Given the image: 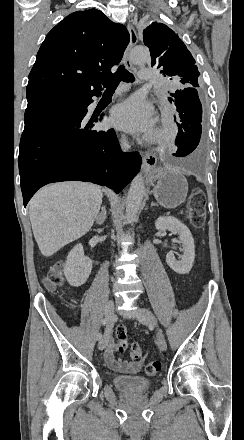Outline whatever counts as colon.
I'll return each instance as SVG.
<instances>
[{
    "label": "colon",
    "mask_w": 244,
    "mask_h": 440,
    "mask_svg": "<svg viewBox=\"0 0 244 440\" xmlns=\"http://www.w3.org/2000/svg\"><path fill=\"white\" fill-rule=\"evenodd\" d=\"M189 218L194 228H201L205 219V199L201 189H195L189 200ZM44 282L48 288L59 286L62 282L61 274L54 270L50 271ZM116 347L118 352H123L128 347V338L123 325H119L116 329ZM130 359L133 363H140L143 359V351L137 343H133L129 350ZM161 363L158 360L148 361L144 366V372L147 377H155L161 371Z\"/></svg>",
    "instance_id": "1"
}]
</instances>
